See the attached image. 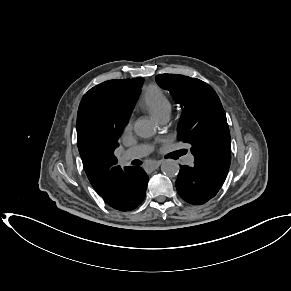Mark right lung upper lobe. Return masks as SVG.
Listing matches in <instances>:
<instances>
[{
  "mask_svg": "<svg viewBox=\"0 0 291 291\" xmlns=\"http://www.w3.org/2000/svg\"><path fill=\"white\" fill-rule=\"evenodd\" d=\"M141 79L109 80L96 85L83 96L78 108L79 153L90 183L105 202L116 200L122 194L124 172L114 156L118 141L109 137L104 127L105 106L115 101L132 111Z\"/></svg>",
  "mask_w": 291,
  "mask_h": 291,
  "instance_id": "1",
  "label": "right lung upper lobe"
}]
</instances>
